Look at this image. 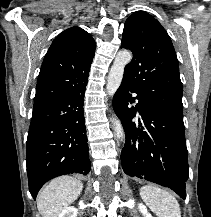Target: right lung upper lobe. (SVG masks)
<instances>
[{
  "instance_id": "cb5924a9",
  "label": "right lung upper lobe",
  "mask_w": 211,
  "mask_h": 217,
  "mask_svg": "<svg viewBox=\"0 0 211 217\" xmlns=\"http://www.w3.org/2000/svg\"><path fill=\"white\" fill-rule=\"evenodd\" d=\"M95 41L79 27L61 32L48 49L38 76L33 109L67 96L88 82Z\"/></svg>"
}]
</instances>
